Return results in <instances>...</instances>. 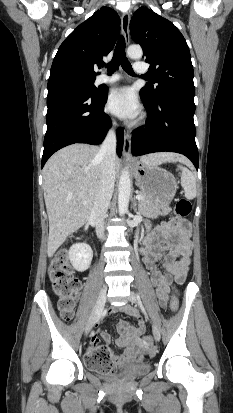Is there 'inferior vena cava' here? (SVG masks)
Listing matches in <instances>:
<instances>
[{
  "label": "inferior vena cava",
  "instance_id": "1",
  "mask_svg": "<svg viewBox=\"0 0 233 413\" xmlns=\"http://www.w3.org/2000/svg\"><path fill=\"white\" fill-rule=\"evenodd\" d=\"M102 159L100 184L91 214L96 223L98 238H104V218L110 204L115 184L116 132L115 125L107 133L98 153Z\"/></svg>",
  "mask_w": 233,
  "mask_h": 413
}]
</instances>
